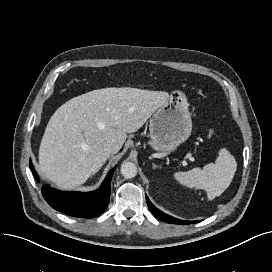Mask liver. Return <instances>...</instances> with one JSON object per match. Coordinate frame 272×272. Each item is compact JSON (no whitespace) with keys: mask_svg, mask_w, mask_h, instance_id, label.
I'll list each match as a JSON object with an SVG mask.
<instances>
[{"mask_svg":"<svg viewBox=\"0 0 272 272\" xmlns=\"http://www.w3.org/2000/svg\"><path fill=\"white\" fill-rule=\"evenodd\" d=\"M168 98L167 92L124 87L93 90L70 99L47 124L39 170L60 188L82 185L109 158L104 144L114 142L119 151L127 133L139 130Z\"/></svg>","mask_w":272,"mask_h":272,"instance_id":"1","label":"liver"}]
</instances>
